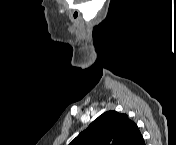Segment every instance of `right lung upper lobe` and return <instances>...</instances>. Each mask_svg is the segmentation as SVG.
I'll use <instances>...</instances> for the list:
<instances>
[{
    "label": "right lung upper lobe",
    "mask_w": 176,
    "mask_h": 145,
    "mask_svg": "<svg viewBox=\"0 0 176 145\" xmlns=\"http://www.w3.org/2000/svg\"><path fill=\"white\" fill-rule=\"evenodd\" d=\"M70 145H145L137 127L126 114L108 111L93 121Z\"/></svg>",
    "instance_id": "right-lung-upper-lobe-1"
}]
</instances>
